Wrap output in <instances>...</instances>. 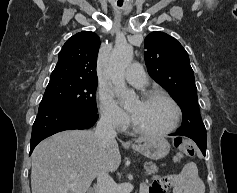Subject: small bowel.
<instances>
[{"label": "small bowel", "instance_id": "1", "mask_svg": "<svg viewBox=\"0 0 237 193\" xmlns=\"http://www.w3.org/2000/svg\"><path fill=\"white\" fill-rule=\"evenodd\" d=\"M167 183L171 185L172 193H204L203 182L198 175L194 163H186L181 172L164 180L155 181L152 186L143 184L141 193H165Z\"/></svg>", "mask_w": 237, "mask_h": 193}]
</instances>
